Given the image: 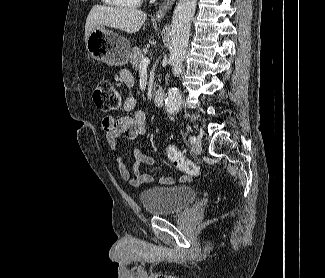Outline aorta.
I'll return each instance as SVG.
<instances>
[{"instance_id":"aorta-1","label":"aorta","mask_w":325,"mask_h":278,"mask_svg":"<svg viewBox=\"0 0 325 278\" xmlns=\"http://www.w3.org/2000/svg\"><path fill=\"white\" fill-rule=\"evenodd\" d=\"M196 5L197 0H179L173 13L169 61L172 66V73L177 77L184 70L183 62L189 44L191 21ZM181 103L182 97L179 89L176 87L170 88L165 100L167 112H176L180 108Z\"/></svg>"}]
</instances>
